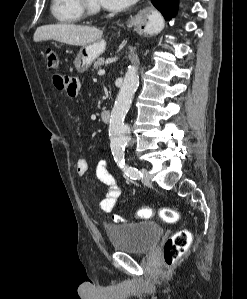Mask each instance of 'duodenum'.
I'll list each match as a JSON object with an SVG mask.
<instances>
[{"instance_id":"1","label":"duodenum","mask_w":247,"mask_h":299,"mask_svg":"<svg viewBox=\"0 0 247 299\" xmlns=\"http://www.w3.org/2000/svg\"><path fill=\"white\" fill-rule=\"evenodd\" d=\"M101 120L104 122V123H109L110 122V118H111V113L110 111L108 110H104L101 112Z\"/></svg>"}]
</instances>
